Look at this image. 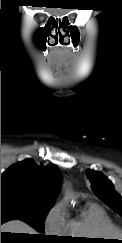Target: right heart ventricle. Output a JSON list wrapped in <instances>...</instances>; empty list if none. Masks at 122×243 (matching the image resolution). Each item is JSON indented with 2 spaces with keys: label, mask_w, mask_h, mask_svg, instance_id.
Here are the masks:
<instances>
[{
  "label": "right heart ventricle",
  "mask_w": 122,
  "mask_h": 243,
  "mask_svg": "<svg viewBox=\"0 0 122 243\" xmlns=\"http://www.w3.org/2000/svg\"><path fill=\"white\" fill-rule=\"evenodd\" d=\"M115 231L106 211L97 204H90L78 216L67 220L65 234L77 238L111 239Z\"/></svg>",
  "instance_id": "right-heart-ventricle-1"
}]
</instances>
